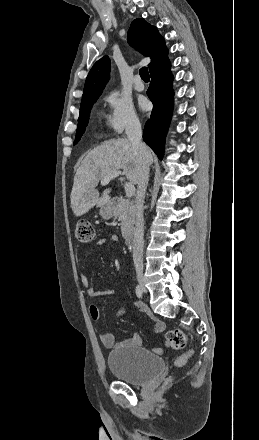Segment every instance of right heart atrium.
<instances>
[{
    "instance_id": "obj_1",
    "label": "right heart atrium",
    "mask_w": 259,
    "mask_h": 440,
    "mask_svg": "<svg viewBox=\"0 0 259 440\" xmlns=\"http://www.w3.org/2000/svg\"><path fill=\"white\" fill-rule=\"evenodd\" d=\"M105 101L109 107L105 123L108 130L120 135L139 125V118L131 100L119 92H110Z\"/></svg>"
}]
</instances>
